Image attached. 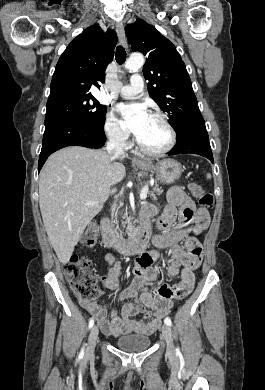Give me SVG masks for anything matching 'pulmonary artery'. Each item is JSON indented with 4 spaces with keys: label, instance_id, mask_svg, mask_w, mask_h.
<instances>
[{
    "label": "pulmonary artery",
    "instance_id": "pulmonary-artery-1",
    "mask_svg": "<svg viewBox=\"0 0 265 390\" xmlns=\"http://www.w3.org/2000/svg\"><path fill=\"white\" fill-rule=\"evenodd\" d=\"M143 86L144 81L142 76L134 74L130 78V83L117 88L116 93L126 99L136 98L142 92Z\"/></svg>",
    "mask_w": 265,
    "mask_h": 390
}]
</instances>
